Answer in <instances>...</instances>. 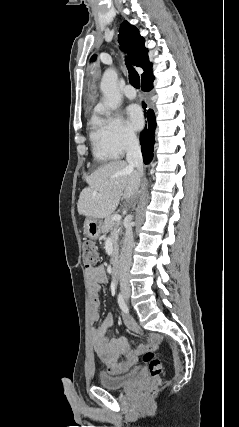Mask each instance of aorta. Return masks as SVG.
I'll return each instance as SVG.
<instances>
[{
	"label": "aorta",
	"instance_id": "1",
	"mask_svg": "<svg viewBox=\"0 0 239 427\" xmlns=\"http://www.w3.org/2000/svg\"><path fill=\"white\" fill-rule=\"evenodd\" d=\"M117 73L114 69H107L101 79V91L106 98L109 108L116 110L119 106L121 95L117 87Z\"/></svg>",
	"mask_w": 239,
	"mask_h": 427
}]
</instances>
